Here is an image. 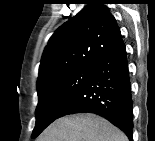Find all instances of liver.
<instances>
[{
    "instance_id": "obj_1",
    "label": "liver",
    "mask_w": 155,
    "mask_h": 141,
    "mask_svg": "<svg viewBox=\"0 0 155 141\" xmlns=\"http://www.w3.org/2000/svg\"><path fill=\"white\" fill-rule=\"evenodd\" d=\"M39 141H127L125 134L94 114H75L53 122Z\"/></svg>"
}]
</instances>
